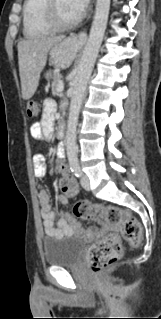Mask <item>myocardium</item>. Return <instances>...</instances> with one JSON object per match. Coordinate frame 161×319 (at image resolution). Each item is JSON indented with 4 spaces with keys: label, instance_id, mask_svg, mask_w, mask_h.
Listing matches in <instances>:
<instances>
[{
    "label": "myocardium",
    "instance_id": "f54148a6",
    "mask_svg": "<svg viewBox=\"0 0 161 319\" xmlns=\"http://www.w3.org/2000/svg\"><path fill=\"white\" fill-rule=\"evenodd\" d=\"M45 8H44V19L46 24L50 27L51 30L55 31H64L69 30L76 27L81 17L77 16L75 19L62 22L58 16L57 10V0H45Z\"/></svg>",
    "mask_w": 161,
    "mask_h": 319
}]
</instances>
